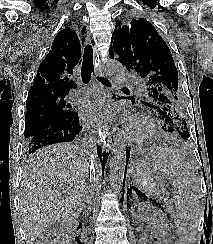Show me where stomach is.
Here are the masks:
<instances>
[{
	"label": "stomach",
	"instance_id": "1",
	"mask_svg": "<svg viewBox=\"0 0 213 244\" xmlns=\"http://www.w3.org/2000/svg\"><path fill=\"white\" fill-rule=\"evenodd\" d=\"M131 176L135 187L150 198L161 197L168 186L167 177L157 166L156 149L136 150L131 163Z\"/></svg>",
	"mask_w": 213,
	"mask_h": 244
}]
</instances>
